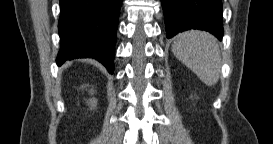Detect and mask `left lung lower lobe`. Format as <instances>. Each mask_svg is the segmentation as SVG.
<instances>
[{
    "label": "left lung lower lobe",
    "mask_w": 273,
    "mask_h": 144,
    "mask_svg": "<svg viewBox=\"0 0 273 144\" xmlns=\"http://www.w3.org/2000/svg\"><path fill=\"white\" fill-rule=\"evenodd\" d=\"M166 36L199 29L212 33L219 40L223 37L221 0H161Z\"/></svg>",
    "instance_id": "obj_1"
}]
</instances>
